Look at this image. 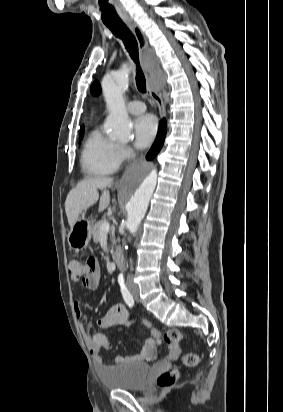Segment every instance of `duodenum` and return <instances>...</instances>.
I'll use <instances>...</instances> for the list:
<instances>
[{"label": "duodenum", "mask_w": 283, "mask_h": 412, "mask_svg": "<svg viewBox=\"0 0 283 412\" xmlns=\"http://www.w3.org/2000/svg\"><path fill=\"white\" fill-rule=\"evenodd\" d=\"M112 260L114 264L118 267L121 268L123 264V256L122 252L119 249H116L113 254H112Z\"/></svg>", "instance_id": "obj_1"}]
</instances>
